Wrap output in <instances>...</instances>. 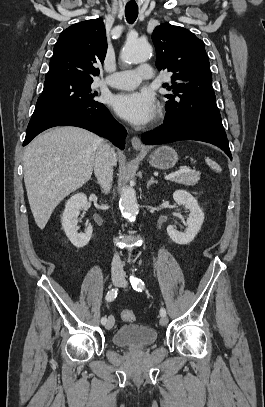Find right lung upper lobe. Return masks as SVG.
<instances>
[{
    "label": "right lung upper lobe",
    "mask_w": 265,
    "mask_h": 407,
    "mask_svg": "<svg viewBox=\"0 0 265 407\" xmlns=\"http://www.w3.org/2000/svg\"><path fill=\"white\" fill-rule=\"evenodd\" d=\"M106 50V32L102 19L74 24L60 34L45 80H93V76L99 75L95 64L104 62Z\"/></svg>",
    "instance_id": "cb5924a9"
}]
</instances>
